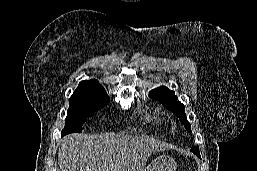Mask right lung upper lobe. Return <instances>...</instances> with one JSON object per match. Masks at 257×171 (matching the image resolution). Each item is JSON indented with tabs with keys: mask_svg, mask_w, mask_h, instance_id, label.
I'll return each instance as SVG.
<instances>
[{
	"mask_svg": "<svg viewBox=\"0 0 257 171\" xmlns=\"http://www.w3.org/2000/svg\"><path fill=\"white\" fill-rule=\"evenodd\" d=\"M76 90H86V91H102L105 92L101 84L95 79L90 81H82L79 83V86Z\"/></svg>",
	"mask_w": 257,
	"mask_h": 171,
	"instance_id": "right-lung-upper-lobe-1",
	"label": "right lung upper lobe"
}]
</instances>
